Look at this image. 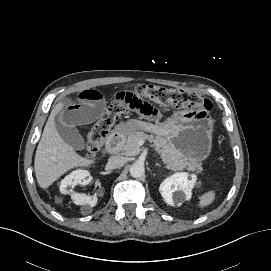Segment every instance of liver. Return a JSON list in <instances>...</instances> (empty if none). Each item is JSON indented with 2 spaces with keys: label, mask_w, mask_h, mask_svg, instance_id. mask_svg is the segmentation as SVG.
Here are the masks:
<instances>
[{
  "label": "liver",
  "mask_w": 271,
  "mask_h": 271,
  "mask_svg": "<svg viewBox=\"0 0 271 271\" xmlns=\"http://www.w3.org/2000/svg\"><path fill=\"white\" fill-rule=\"evenodd\" d=\"M64 103H58L51 111L37 146L34 168L39 186L48 188L65 172L74 167H87L95 160L80 156L64 145L55 125V118Z\"/></svg>",
  "instance_id": "1"
}]
</instances>
